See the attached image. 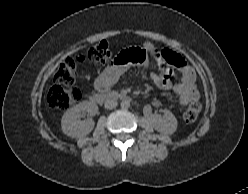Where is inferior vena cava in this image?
<instances>
[{
	"instance_id": "1",
	"label": "inferior vena cava",
	"mask_w": 248,
	"mask_h": 194,
	"mask_svg": "<svg viewBox=\"0 0 248 194\" xmlns=\"http://www.w3.org/2000/svg\"><path fill=\"white\" fill-rule=\"evenodd\" d=\"M105 108L107 109H113V108H116L117 107V101L114 100V99H108L105 101Z\"/></svg>"
}]
</instances>
